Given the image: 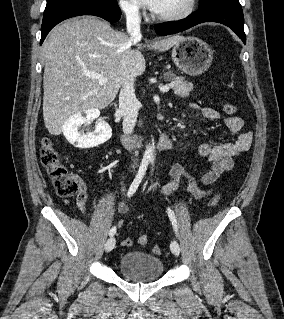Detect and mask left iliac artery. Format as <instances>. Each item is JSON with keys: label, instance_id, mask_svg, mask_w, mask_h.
Returning a JSON list of instances; mask_svg holds the SVG:
<instances>
[{"label": "left iliac artery", "instance_id": "1", "mask_svg": "<svg viewBox=\"0 0 284 319\" xmlns=\"http://www.w3.org/2000/svg\"><path fill=\"white\" fill-rule=\"evenodd\" d=\"M167 213H168V216L172 222L174 231L177 232V219H176V216H175L173 210H171L170 208H167Z\"/></svg>", "mask_w": 284, "mask_h": 319}]
</instances>
